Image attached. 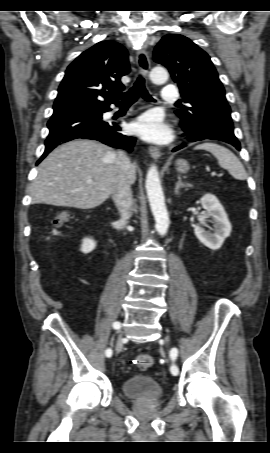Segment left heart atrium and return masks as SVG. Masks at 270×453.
Wrapping results in <instances>:
<instances>
[{
  "instance_id": "left-heart-atrium-1",
  "label": "left heart atrium",
  "mask_w": 270,
  "mask_h": 453,
  "mask_svg": "<svg viewBox=\"0 0 270 453\" xmlns=\"http://www.w3.org/2000/svg\"><path fill=\"white\" fill-rule=\"evenodd\" d=\"M132 130L145 140L166 142L170 139L171 133L162 118L153 113L141 116L132 125Z\"/></svg>"
}]
</instances>
